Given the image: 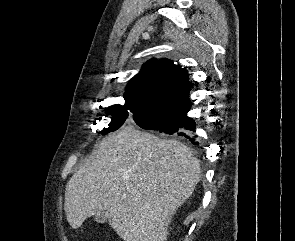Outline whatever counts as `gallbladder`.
I'll list each match as a JSON object with an SVG mask.
<instances>
[{"mask_svg": "<svg viewBox=\"0 0 295 241\" xmlns=\"http://www.w3.org/2000/svg\"><path fill=\"white\" fill-rule=\"evenodd\" d=\"M106 219L107 218H106V216H105L104 213H101L100 215H98V216L95 217V221L97 223H104L106 221Z\"/></svg>", "mask_w": 295, "mask_h": 241, "instance_id": "1", "label": "gallbladder"}]
</instances>
